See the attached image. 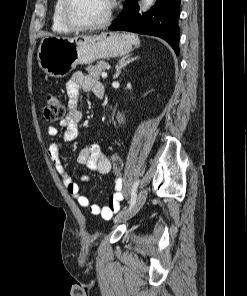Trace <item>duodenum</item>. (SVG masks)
Returning a JSON list of instances; mask_svg holds the SVG:
<instances>
[{
  "mask_svg": "<svg viewBox=\"0 0 247 296\" xmlns=\"http://www.w3.org/2000/svg\"><path fill=\"white\" fill-rule=\"evenodd\" d=\"M97 97L101 100H104L105 99V92H104V89L101 88L98 92H97Z\"/></svg>",
  "mask_w": 247,
  "mask_h": 296,
  "instance_id": "obj_1",
  "label": "duodenum"
}]
</instances>
